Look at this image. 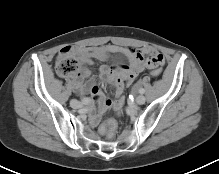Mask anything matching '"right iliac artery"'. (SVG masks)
<instances>
[{"mask_svg":"<svg viewBox=\"0 0 219 174\" xmlns=\"http://www.w3.org/2000/svg\"><path fill=\"white\" fill-rule=\"evenodd\" d=\"M81 102H82L83 104H89V103H90V100H89L88 98H83V99L81 100Z\"/></svg>","mask_w":219,"mask_h":174,"instance_id":"1","label":"right iliac artery"}]
</instances>
